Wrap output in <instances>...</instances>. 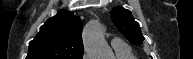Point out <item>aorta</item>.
I'll use <instances>...</instances> for the list:
<instances>
[{
    "instance_id": "1",
    "label": "aorta",
    "mask_w": 193,
    "mask_h": 59,
    "mask_svg": "<svg viewBox=\"0 0 193 59\" xmlns=\"http://www.w3.org/2000/svg\"><path fill=\"white\" fill-rule=\"evenodd\" d=\"M83 41L86 52L90 57L97 59H111L112 53L104 39L98 21H90L84 29Z\"/></svg>"
}]
</instances>
